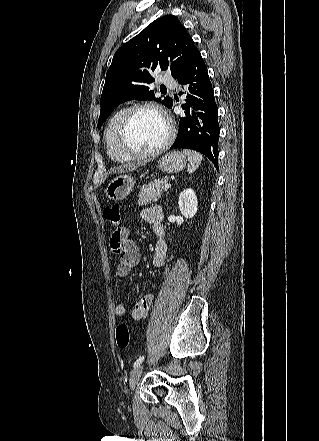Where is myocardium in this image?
I'll list each match as a JSON object with an SVG mask.
<instances>
[{
	"mask_svg": "<svg viewBox=\"0 0 319 441\" xmlns=\"http://www.w3.org/2000/svg\"><path fill=\"white\" fill-rule=\"evenodd\" d=\"M143 110H149L157 113L165 122L167 127V135L163 143L158 146L157 148L150 150V151H137L129 147L125 141V133L127 130V127L132 119V117L139 111ZM175 125L171 117L168 115V113L162 109L160 106L153 104V103H141L136 104L130 108L127 109L125 114L123 115L118 128H117V145L120 148V150L128 155L131 158H147L159 155L166 151L169 146L172 144L174 137H175Z\"/></svg>",
	"mask_w": 319,
	"mask_h": 441,
	"instance_id": "f54148a6",
	"label": "myocardium"
}]
</instances>
